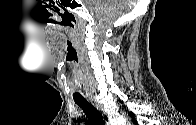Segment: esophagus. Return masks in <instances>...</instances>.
Here are the masks:
<instances>
[{"label": "esophagus", "instance_id": "obj_1", "mask_svg": "<svg viewBox=\"0 0 196 125\" xmlns=\"http://www.w3.org/2000/svg\"><path fill=\"white\" fill-rule=\"evenodd\" d=\"M91 102L95 106V108L99 111V113L102 115L105 125H110L109 119L107 115L102 111L101 106L94 99H91Z\"/></svg>", "mask_w": 196, "mask_h": 125}]
</instances>
